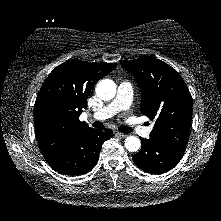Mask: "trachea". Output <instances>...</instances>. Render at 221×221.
I'll list each match as a JSON object with an SVG mask.
<instances>
[{
	"label": "trachea",
	"mask_w": 221,
	"mask_h": 221,
	"mask_svg": "<svg viewBox=\"0 0 221 221\" xmlns=\"http://www.w3.org/2000/svg\"><path fill=\"white\" fill-rule=\"evenodd\" d=\"M93 127L101 128V127H103V123H101V122H94L93 123ZM118 129L122 133H131L132 132V129L130 127L120 126Z\"/></svg>",
	"instance_id": "3493384b"
}]
</instances>
